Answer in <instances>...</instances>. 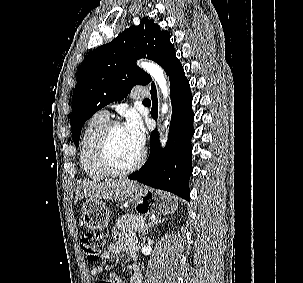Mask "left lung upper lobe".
Wrapping results in <instances>:
<instances>
[{"label": "left lung upper lobe", "mask_w": 303, "mask_h": 283, "mask_svg": "<svg viewBox=\"0 0 303 283\" xmlns=\"http://www.w3.org/2000/svg\"><path fill=\"white\" fill-rule=\"evenodd\" d=\"M176 57L168 31L144 17L112 42L96 48L78 69L70 123L76 147L83 124L98 110L122 100L135 85H147L149 74L135 65L139 58L157 62L165 71Z\"/></svg>", "instance_id": "1"}]
</instances>
